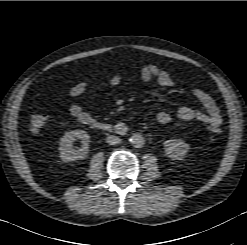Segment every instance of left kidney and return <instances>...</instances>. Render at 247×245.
Returning a JSON list of instances; mask_svg holds the SVG:
<instances>
[{
	"label": "left kidney",
	"mask_w": 247,
	"mask_h": 245,
	"mask_svg": "<svg viewBox=\"0 0 247 245\" xmlns=\"http://www.w3.org/2000/svg\"><path fill=\"white\" fill-rule=\"evenodd\" d=\"M165 154L173 160H182L189 150L183 140L170 139L164 142Z\"/></svg>",
	"instance_id": "obj_1"
}]
</instances>
